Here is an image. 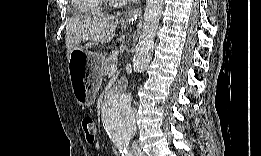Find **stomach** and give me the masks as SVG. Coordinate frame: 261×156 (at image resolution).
Segmentation results:
<instances>
[{
    "label": "stomach",
    "instance_id": "0dacf381",
    "mask_svg": "<svg viewBox=\"0 0 261 156\" xmlns=\"http://www.w3.org/2000/svg\"><path fill=\"white\" fill-rule=\"evenodd\" d=\"M85 59L82 67L79 60ZM104 56L87 47L78 46L73 49L69 59V75L76 101L82 106L94 103L102 80Z\"/></svg>",
    "mask_w": 261,
    "mask_h": 156
}]
</instances>
